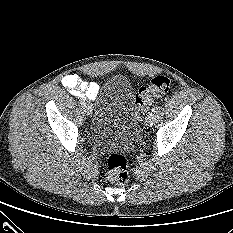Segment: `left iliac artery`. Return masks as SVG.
<instances>
[{
    "mask_svg": "<svg viewBox=\"0 0 233 233\" xmlns=\"http://www.w3.org/2000/svg\"><path fill=\"white\" fill-rule=\"evenodd\" d=\"M158 110H159V106H154V107L152 108V111L155 112V113H157Z\"/></svg>",
    "mask_w": 233,
    "mask_h": 233,
    "instance_id": "left-iliac-artery-1",
    "label": "left iliac artery"
}]
</instances>
